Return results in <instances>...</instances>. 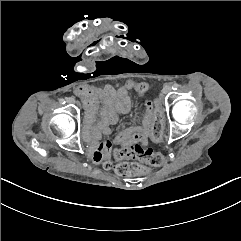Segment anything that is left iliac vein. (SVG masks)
<instances>
[{
	"label": "left iliac vein",
	"instance_id": "4c4485c4",
	"mask_svg": "<svg viewBox=\"0 0 241 241\" xmlns=\"http://www.w3.org/2000/svg\"><path fill=\"white\" fill-rule=\"evenodd\" d=\"M171 91V86L169 84H165L162 90L163 95L168 94Z\"/></svg>",
	"mask_w": 241,
	"mask_h": 241
}]
</instances>
